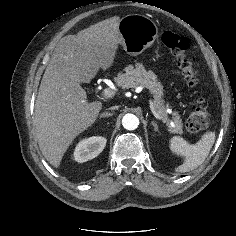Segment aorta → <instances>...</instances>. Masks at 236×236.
Masks as SVG:
<instances>
[{
  "label": "aorta",
  "mask_w": 236,
  "mask_h": 236,
  "mask_svg": "<svg viewBox=\"0 0 236 236\" xmlns=\"http://www.w3.org/2000/svg\"><path fill=\"white\" fill-rule=\"evenodd\" d=\"M122 125L127 130H135L139 125V119L134 114H125L122 118Z\"/></svg>",
  "instance_id": "762f6f07"
}]
</instances>
